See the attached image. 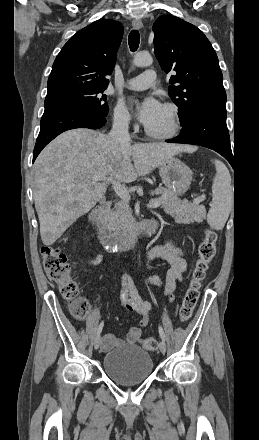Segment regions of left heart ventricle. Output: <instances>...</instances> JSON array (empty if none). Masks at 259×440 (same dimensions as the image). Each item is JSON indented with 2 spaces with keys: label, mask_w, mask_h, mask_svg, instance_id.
I'll return each instance as SVG.
<instances>
[{
  "label": "left heart ventricle",
  "mask_w": 259,
  "mask_h": 440,
  "mask_svg": "<svg viewBox=\"0 0 259 440\" xmlns=\"http://www.w3.org/2000/svg\"><path fill=\"white\" fill-rule=\"evenodd\" d=\"M169 127H170V115L169 112L164 107L158 118L152 124L147 126L148 129L157 133H163L167 131Z\"/></svg>",
  "instance_id": "left-heart-ventricle-1"
}]
</instances>
